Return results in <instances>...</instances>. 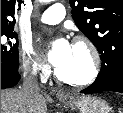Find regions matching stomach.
I'll return each instance as SVG.
<instances>
[{
    "label": "stomach",
    "instance_id": "obj_1",
    "mask_svg": "<svg viewBox=\"0 0 123 113\" xmlns=\"http://www.w3.org/2000/svg\"><path fill=\"white\" fill-rule=\"evenodd\" d=\"M58 99L64 105L77 109L80 113H109L110 107L106 101L95 96L59 95Z\"/></svg>",
    "mask_w": 123,
    "mask_h": 113
}]
</instances>
